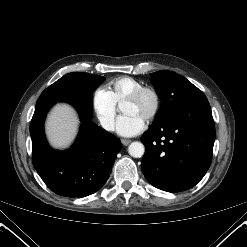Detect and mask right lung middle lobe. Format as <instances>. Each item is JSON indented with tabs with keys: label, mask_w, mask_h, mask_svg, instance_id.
I'll return each instance as SVG.
<instances>
[{
	"label": "right lung middle lobe",
	"mask_w": 247,
	"mask_h": 247,
	"mask_svg": "<svg viewBox=\"0 0 247 247\" xmlns=\"http://www.w3.org/2000/svg\"><path fill=\"white\" fill-rule=\"evenodd\" d=\"M104 81L103 77L88 73L73 72L64 75L47 89L44 93H81L91 95L92 91Z\"/></svg>",
	"instance_id": "right-lung-middle-lobe-1"
}]
</instances>
